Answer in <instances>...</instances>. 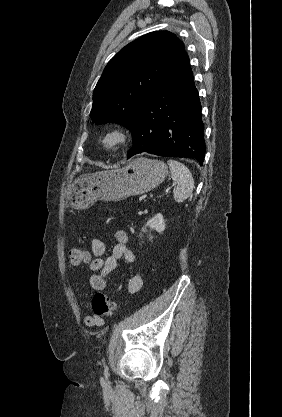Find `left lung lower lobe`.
<instances>
[{
	"label": "left lung lower lobe",
	"instance_id": "obj_1",
	"mask_svg": "<svg viewBox=\"0 0 282 417\" xmlns=\"http://www.w3.org/2000/svg\"><path fill=\"white\" fill-rule=\"evenodd\" d=\"M127 158L147 152L165 157L205 156L201 104L189 58L184 53L137 111Z\"/></svg>",
	"mask_w": 282,
	"mask_h": 417
}]
</instances>
